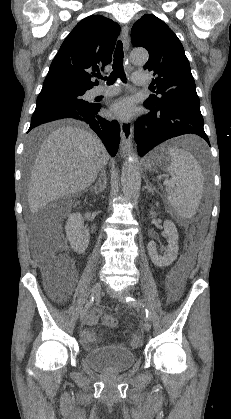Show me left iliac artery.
<instances>
[{
    "label": "left iliac artery",
    "instance_id": "1",
    "mask_svg": "<svg viewBox=\"0 0 231 419\" xmlns=\"http://www.w3.org/2000/svg\"><path fill=\"white\" fill-rule=\"evenodd\" d=\"M126 301L131 306H135V307L142 306L145 309L146 318L148 320H151V312L149 311V309L147 308V306L141 300H136L133 297H127L126 298Z\"/></svg>",
    "mask_w": 231,
    "mask_h": 419
}]
</instances>
